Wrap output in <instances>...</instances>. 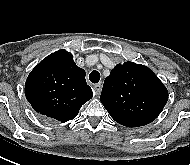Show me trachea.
<instances>
[{
	"label": "trachea",
	"mask_w": 190,
	"mask_h": 165,
	"mask_svg": "<svg viewBox=\"0 0 190 165\" xmlns=\"http://www.w3.org/2000/svg\"><path fill=\"white\" fill-rule=\"evenodd\" d=\"M89 80L92 82V83H98L99 80H100V73L96 70L92 71L90 74H89Z\"/></svg>",
	"instance_id": "obj_1"
}]
</instances>
